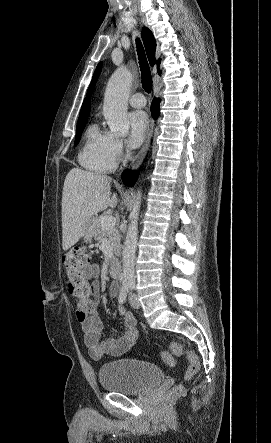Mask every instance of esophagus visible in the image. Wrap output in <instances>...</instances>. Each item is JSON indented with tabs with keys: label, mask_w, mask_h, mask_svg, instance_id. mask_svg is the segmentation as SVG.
<instances>
[{
	"label": "esophagus",
	"mask_w": 271,
	"mask_h": 443,
	"mask_svg": "<svg viewBox=\"0 0 271 443\" xmlns=\"http://www.w3.org/2000/svg\"><path fill=\"white\" fill-rule=\"evenodd\" d=\"M153 130H154V120H150L147 138H146L144 145L142 146L140 152L138 153V155L132 165L133 168H138L141 165L142 161L144 160V158L149 150V147H150L151 138L153 136Z\"/></svg>",
	"instance_id": "1"
}]
</instances>
